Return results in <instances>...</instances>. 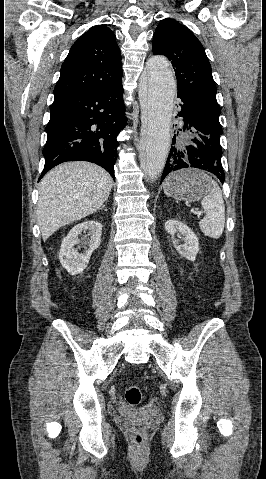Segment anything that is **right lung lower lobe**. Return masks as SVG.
<instances>
[{"label":"right lung lower lobe","mask_w":266,"mask_h":479,"mask_svg":"<svg viewBox=\"0 0 266 479\" xmlns=\"http://www.w3.org/2000/svg\"><path fill=\"white\" fill-rule=\"evenodd\" d=\"M123 87L117 84L55 96L43 149L45 166L39 180L66 161H89L106 169L113 179L116 140L126 124Z\"/></svg>","instance_id":"98d812e1"}]
</instances>
